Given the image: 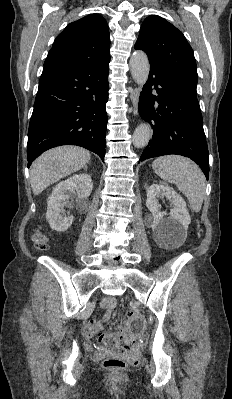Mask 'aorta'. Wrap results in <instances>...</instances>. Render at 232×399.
Instances as JSON below:
<instances>
[{
  "label": "aorta",
  "instance_id": "1",
  "mask_svg": "<svg viewBox=\"0 0 232 399\" xmlns=\"http://www.w3.org/2000/svg\"><path fill=\"white\" fill-rule=\"evenodd\" d=\"M130 70L132 77L137 84L143 86L149 76L150 64L147 55L141 51L136 50L130 58ZM152 135L151 127L146 123L138 125L133 133V145L136 148L145 147Z\"/></svg>",
  "mask_w": 232,
  "mask_h": 399
}]
</instances>
